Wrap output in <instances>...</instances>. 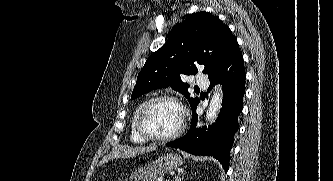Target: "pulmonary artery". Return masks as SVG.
Here are the masks:
<instances>
[{
	"mask_svg": "<svg viewBox=\"0 0 333 181\" xmlns=\"http://www.w3.org/2000/svg\"><path fill=\"white\" fill-rule=\"evenodd\" d=\"M196 84L198 86L206 87L209 84V80L206 75L198 74L196 77Z\"/></svg>",
	"mask_w": 333,
	"mask_h": 181,
	"instance_id": "1",
	"label": "pulmonary artery"
}]
</instances>
